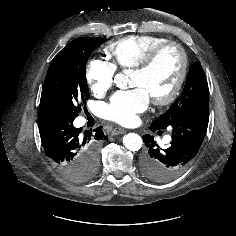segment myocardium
Returning <instances> with one entry per match:
<instances>
[{
  "mask_svg": "<svg viewBox=\"0 0 236 236\" xmlns=\"http://www.w3.org/2000/svg\"><path fill=\"white\" fill-rule=\"evenodd\" d=\"M168 48L178 50L181 57V66L172 89L163 97H153L154 104L158 106H167L173 103L184 85L188 73V56L184 47L176 41L164 42L150 50L144 59L134 67V70L137 72H147L152 68L159 55Z\"/></svg>",
  "mask_w": 236,
  "mask_h": 236,
  "instance_id": "f54148a6",
  "label": "myocardium"
}]
</instances>
